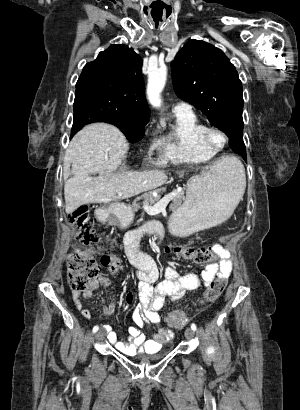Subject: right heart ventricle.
<instances>
[{
  "label": "right heart ventricle",
  "mask_w": 300,
  "mask_h": 410,
  "mask_svg": "<svg viewBox=\"0 0 300 410\" xmlns=\"http://www.w3.org/2000/svg\"><path fill=\"white\" fill-rule=\"evenodd\" d=\"M170 131L162 140V161L175 164H195L212 160L217 152L202 143L206 125L192 111H175Z\"/></svg>",
  "instance_id": "e07e8e85"
}]
</instances>
